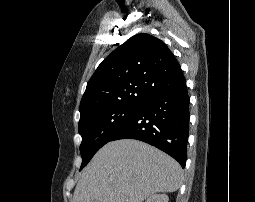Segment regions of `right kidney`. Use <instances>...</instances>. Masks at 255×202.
I'll use <instances>...</instances> for the list:
<instances>
[{
	"label": "right kidney",
	"mask_w": 255,
	"mask_h": 202,
	"mask_svg": "<svg viewBox=\"0 0 255 202\" xmlns=\"http://www.w3.org/2000/svg\"><path fill=\"white\" fill-rule=\"evenodd\" d=\"M169 198L165 194L151 195L145 202H168Z\"/></svg>",
	"instance_id": "1"
}]
</instances>
